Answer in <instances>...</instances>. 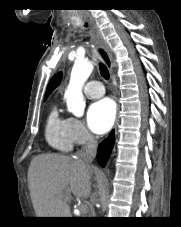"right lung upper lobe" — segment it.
<instances>
[{"label":"right lung upper lobe","mask_w":181,"mask_h":227,"mask_svg":"<svg viewBox=\"0 0 181 227\" xmlns=\"http://www.w3.org/2000/svg\"><path fill=\"white\" fill-rule=\"evenodd\" d=\"M60 82H61V73H57L51 78L47 86V91L45 93L44 99H46L49 96V94L59 85Z\"/></svg>","instance_id":"1"}]
</instances>
